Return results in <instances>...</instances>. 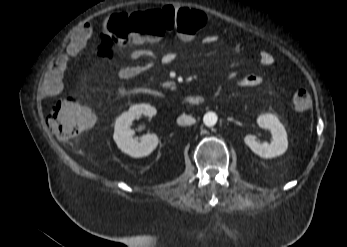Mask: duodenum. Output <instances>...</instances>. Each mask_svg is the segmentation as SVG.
<instances>
[{"mask_svg":"<svg viewBox=\"0 0 347 247\" xmlns=\"http://www.w3.org/2000/svg\"><path fill=\"white\" fill-rule=\"evenodd\" d=\"M137 94H144V95L157 97V98L163 97L162 93L159 91H156V90H148V91L138 92ZM204 101H205L204 97L201 95H197V94L196 95H189V96L182 98V102L188 106H199V105L203 104Z\"/></svg>","mask_w":347,"mask_h":247,"instance_id":"410a0bca","label":"duodenum"}]
</instances>
